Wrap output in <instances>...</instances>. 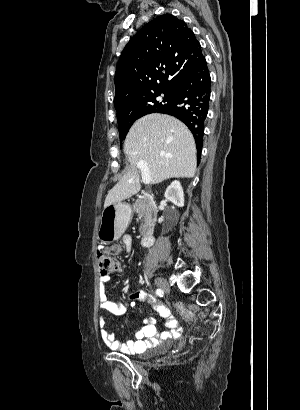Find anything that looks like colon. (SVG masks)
Masks as SVG:
<instances>
[{"mask_svg": "<svg viewBox=\"0 0 300 410\" xmlns=\"http://www.w3.org/2000/svg\"><path fill=\"white\" fill-rule=\"evenodd\" d=\"M97 260L100 275H107L111 272H117L122 268L121 262L111 254L98 251ZM179 308L186 316H192V314L186 310L183 305H179Z\"/></svg>", "mask_w": 300, "mask_h": 410, "instance_id": "obj_1", "label": "colon"}]
</instances>
